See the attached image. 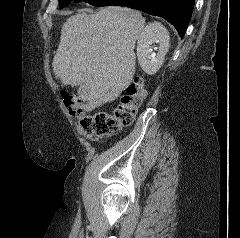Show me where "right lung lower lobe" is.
Instances as JSON below:
<instances>
[{
	"label": "right lung lower lobe",
	"instance_id": "right-lung-lower-lobe-1",
	"mask_svg": "<svg viewBox=\"0 0 240 238\" xmlns=\"http://www.w3.org/2000/svg\"><path fill=\"white\" fill-rule=\"evenodd\" d=\"M195 0H99L94 6H128L153 16H159L174 25L183 38L192 16Z\"/></svg>",
	"mask_w": 240,
	"mask_h": 238
}]
</instances>
